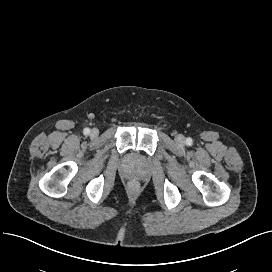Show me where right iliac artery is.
I'll return each instance as SVG.
<instances>
[{"mask_svg":"<svg viewBox=\"0 0 272 272\" xmlns=\"http://www.w3.org/2000/svg\"><path fill=\"white\" fill-rule=\"evenodd\" d=\"M83 133H84L85 135H89V134H90V129H89V128H85V129L83 130Z\"/></svg>","mask_w":272,"mask_h":272,"instance_id":"right-iliac-artery-1","label":"right iliac artery"}]
</instances>
